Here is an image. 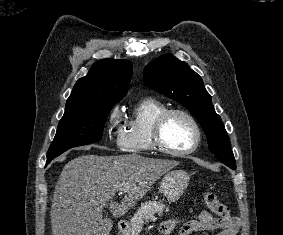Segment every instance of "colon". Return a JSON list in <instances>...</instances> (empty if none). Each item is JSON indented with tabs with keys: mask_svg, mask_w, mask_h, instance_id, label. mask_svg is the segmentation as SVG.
<instances>
[{
	"mask_svg": "<svg viewBox=\"0 0 283 235\" xmlns=\"http://www.w3.org/2000/svg\"><path fill=\"white\" fill-rule=\"evenodd\" d=\"M204 200L207 207L217 216L223 220L230 219V211L226 205L220 202L217 196L213 192H206L204 194Z\"/></svg>",
	"mask_w": 283,
	"mask_h": 235,
	"instance_id": "1",
	"label": "colon"
}]
</instances>
